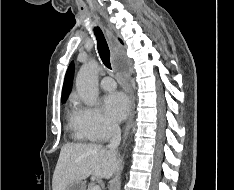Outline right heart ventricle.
<instances>
[{
    "label": "right heart ventricle",
    "mask_w": 234,
    "mask_h": 190,
    "mask_svg": "<svg viewBox=\"0 0 234 190\" xmlns=\"http://www.w3.org/2000/svg\"><path fill=\"white\" fill-rule=\"evenodd\" d=\"M67 116L69 120V126L75 132L76 137L81 140H89L90 138L86 134H84L79 128L76 118V109L72 107L69 108L67 111Z\"/></svg>",
    "instance_id": "1"
}]
</instances>
